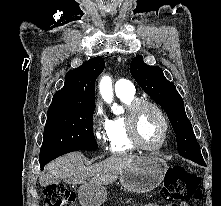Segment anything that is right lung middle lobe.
I'll list each match as a JSON object with an SVG mask.
<instances>
[{
    "label": "right lung middle lobe",
    "mask_w": 221,
    "mask_h": 206,
    "mask_svg": "<svg viewBox=\"0 0 221 206\" xmlns=\"http://www.w3.org/2000/svg\"><path fill=\"white\" fill-rule=\"evenodd\" d=\"M94 109L48 111L39 161L49 162L72 151L97 149L92 126Z\"/></svg>",
    "instance_id": "dd1d6c3e"
}]
</instances>
